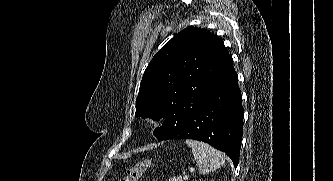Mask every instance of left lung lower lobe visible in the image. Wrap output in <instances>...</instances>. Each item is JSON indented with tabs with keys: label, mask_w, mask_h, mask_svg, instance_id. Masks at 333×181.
I'll use <instances>...</instances> for the list:
<instances>
[{
	"label": "left lung lower lobe",
	"mask_w": 333,
	"mask_h": 181,
	"mask_svg": "<svg viewBox=\"0 0 333 181\" xmlns=\"http://www.w3.org/2000/svg\"><path fill=\"white\" fill-rule=\"evenodd\" d=\"M238 76L232 66L210 89L204 103L195 111L167 122L169 134L158 140L195 139L225 152L237 167L239 163L242 120Z\"/></svg>",
	"instance_id": "obj_1"
}]
</instances>
